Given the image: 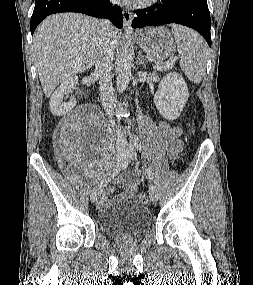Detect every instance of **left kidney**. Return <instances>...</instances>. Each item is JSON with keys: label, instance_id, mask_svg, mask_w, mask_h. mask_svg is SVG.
<instances>
[{"label": "left kidney", "instance_id": "1", "mask_svg": "<svg viewBox=\"0 0 253 285\" xmlns=\"http://www.w3.org/2000/svg\"><path fill=\"white\" fill-rule=\"evenodd\" d=\"M188 97V87L183 77L170 72L161 80L154 103L165 119L175 120L180 116Z\"/></svg>", "mask_w": 253, "mask_h": 285}]
</instances>
